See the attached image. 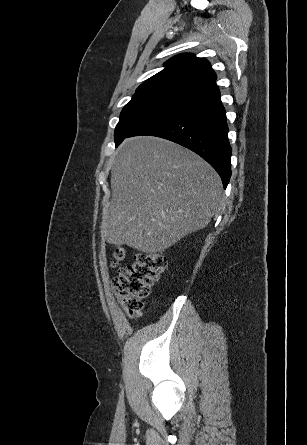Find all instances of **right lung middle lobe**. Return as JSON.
Here are the masks:
<instances>
[{
  "instance_id": "right-lung-middle-lobe-1",
  "label": "right lung middle lobe",
  "mask_w": 307,
  "mask_h": 445,
  "mask_svg": "<svg viewBox=\"0 0 307 445\" xmlns=\"http://www.w3.org/2000/svg\"><path fill=\"white\" fill-rule=\"evenodd\" d=\"M185 100L159 95L133 96L125 105L116 126L115 143L138 127L178 107Z\"/></svg>"
}]
</instances>
